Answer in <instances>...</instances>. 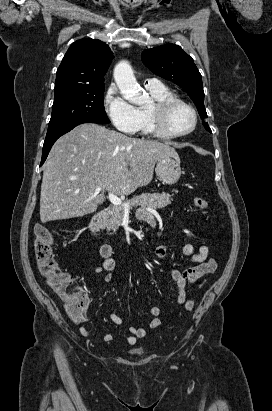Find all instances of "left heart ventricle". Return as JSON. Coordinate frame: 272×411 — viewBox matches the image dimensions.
Here are the masks:
<instances>
[{
    "instance_id": "obj_1",
    "label": "left heart ventricle",
    "mask_w": 272,
    "mask_h": 411,
    "mask_svg": "<svg viewBox=\"0 0 272 411\" xmlns=\"http://www.w3.org/2000/svg\"><path fill=\"white\" fill-rule=\"evenodd\" d=\"M192 122L191 112L183 106H177L170 112L168 127L171 131L183 132L191 127Z\"/></svg>"
}]
</instances>
